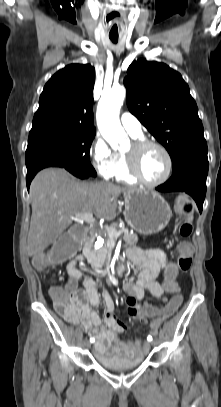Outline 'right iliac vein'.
<instances>
[{
  "mask_svg": "<svg viewBox=\"0 0 221 407\" xmlns=\"http://www.w3.org/2000/svg\"><path fill=\"white\" fill-rule=\"evenodd\" d=\"M84 346H85V347H89V346H90V343H89V341H88L87 339L84 341Z\"/></svg>",
  "mask_w": 221,
  "mask_h": 407,
  "instance_id": "1",
  "label": "right iliac vein"
}]
</instances>
